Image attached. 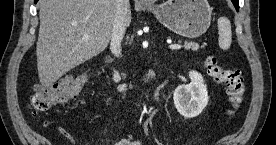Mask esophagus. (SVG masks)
Wrapping results in <instances>:
<instances>
[{
	"instance_id": "1",
	"label": "esophagus",
	"mask_w": 276,
	"mask_h": 145,
	"mask_svg": "<svg viewBox=\"0 0 276 145\" xmlns=\"http://www.w3.org/2000/svg\"><path fill=\"white\" fill-rule=\"evenodd\" d=\"M140 3H142V4H150L151 0H140Z\"/></svg>"
}]
</instances>
